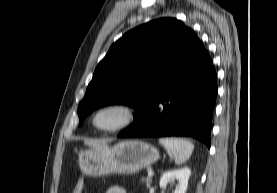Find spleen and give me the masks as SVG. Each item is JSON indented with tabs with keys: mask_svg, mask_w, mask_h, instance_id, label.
<instances>
[{
	"mask_svg": "<svg viewBox=\"0 0 277 193\" xmlns=\"http://www.w3.org/2000/svg\"><path fill=\"white\" fill-rule=\"evenodd\" d=\"M159 143L165 147L169 156L174 158L176 164L186 162L194 150V145L183 138H160Z\"/></svg>",
	"mask_w": 277,
	"mask_h": 193,
	"instance_id": "obj_1",
	"label": "spleen"
}]
</instances>
